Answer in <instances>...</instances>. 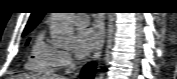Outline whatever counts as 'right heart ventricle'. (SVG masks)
Here are the masks:
<instances>
[{"instance_id": "e07e8e85", "label": "right heart ventricle", "mask_w": 177, "mask_h": 79, "mask_svg": "<svg viewBox=\"0 0 177 79\" xmlns=\"http://www.w3.org/2000/svg\"><path fill=\"white\" fill-rule=\"evenodd\" d=\"M59 50L44 41V36L39 33L31 47L25 68L37 73H53L58 67Z\"/></svg>"}]
</instances>
